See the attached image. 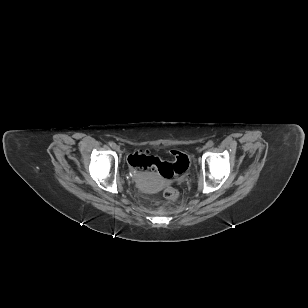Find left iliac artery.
Wrapping results in <instances>:
<instances>
[{
  "instance_id": "obj_1",
  "label": "left iliac artery",
  "mask_w": 308,
  "mask_h": 308,
  "mask_svg": "<svg viewBox=\"0 0 308 308\" xmlns=\"http://www.w3.org/2000/svg\"><path fill=\"white\" fill-rule=\"evenodd\" d=\"M208 147H212L214 145L212 140H209L206 144Z\"/></svg>"
}]
</instances>
